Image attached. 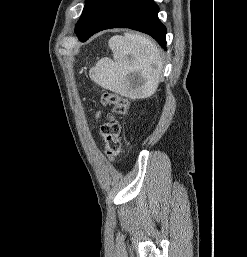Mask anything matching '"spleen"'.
Instances as JSON below:
<instances>
[{
    "mask_svg": "<svg viewBox=\"0 0 247 257\" xmlns=\"http://www.w3.org/2000/svg\"><path fill=\"white\" fill-rule=\"evenodd\" d=\"M114 61L102 58L89 75L101 87L129 98L150 97L157 90L163 62L156 44L140 34L125 33L109 40ZM137 73L141 82L132 88L129 76Z\"/></svg>",
    "mask_w": 247,
    "mask_h": 257,
    "instance_id": "spleen-1",
    "label": "spleen"
}]
</instances>
